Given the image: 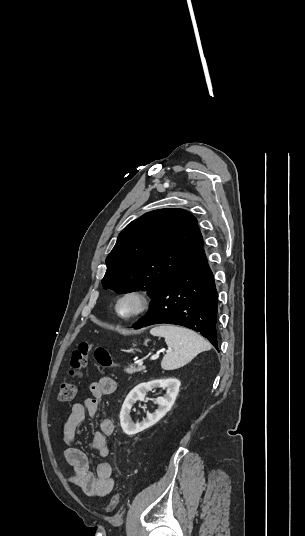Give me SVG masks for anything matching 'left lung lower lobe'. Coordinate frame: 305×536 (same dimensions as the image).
<instances>
[{"label":"left lung lower lobe","instance_id":"1","mask_svg":"<svg viewBox=\"0 0 305 536\" xmlns=\"http://www.w3.org/2000/svg\"><path fill=\"white\" fill-rule=\"evenodd\" d=\"M218 294L204 250L152 298L149 312L133 325L140 329L161 323L193 329L219 351L216 314Z\"/></svg>","mask_w":305,"mask_h":536}]
</instances>
